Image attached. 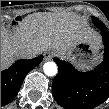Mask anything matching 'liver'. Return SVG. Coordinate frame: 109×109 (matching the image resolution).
Here are the masks:
<instances>
[{
  "label": "liver",
  "instance_id": "6515ba94",
  "mask_svg": "<svg viewBox=\"0 0 109 109\" xmlns=\"http://www.w3.org/2000/svg\"><path fill=\"white\" fill-rule=\"evenodd\" d=\"M79 42L101 47L100 35L89 29L82 17L72 12L30 14L13 30L1 28V68L19 58L20 48L34 49L37 54L49 49L64 54Z\"/></svg>",
  "mask_w": 109,
  "mask_h": 109
}]
</instances>
